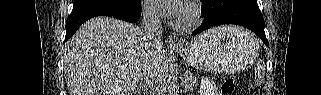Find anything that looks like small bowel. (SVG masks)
<instances>
[{
	"label": "small bowel",
	"mask_w": 321,
	"mask_h": 95,
	"mask_svg": "<svg viewBox=\"0 0 321 95\" xmlns=\"http://www.w3.org/2000/svg\"><path fill=\"white\" fill-rule=\"evenodd\" d=\"M215 92H212L211 90L207 89V88H204L203 89V95H212L214 94Z\"/></svg>",
	"instance_id": "1"
}]
</instances>
